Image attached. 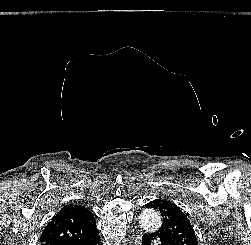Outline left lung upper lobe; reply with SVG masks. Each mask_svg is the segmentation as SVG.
I'll list each match as a JSON object with an SVG mask.
<instances>
[{"mask_svg": "<svg viewBox=\"0 0 251 245\" xmlns=\"http://www.w3.org/2000/svg\"><path fill=\"white\" fill-rule=\"evenodd\" d=\"M145 207L157 209L163 216V224L156 233L166 236L174 245H198L192 225L175 204L164 199H156L147 203Z\"/></svg>", "mask_w": 251, "mask_h": 245, "instance_id": "1", "label": "left lung upper lobe"}]
</instances>
